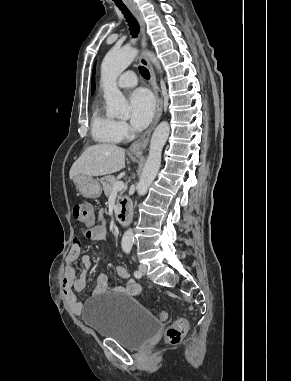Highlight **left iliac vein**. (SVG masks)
Wrapping results in <instances>:
<instances>
[{
	"instance_id": "obj_1",
	"label": "left iliac vein",
	"mask_w": 291,
	"mask_h": 381,
	"mask_svg": "<svg viewBox=\"0 0 291 381\" xmlns=\"http://www.w3.org/2000/svg\"><path fill=\"white\" fill-rule=\"evenodd\" d=\"M139 271H140V273L142 274V275H145L146 274V272H147V266L146 265H143V264H141V265H139Z\"/></svg>"
}]
</instances>
